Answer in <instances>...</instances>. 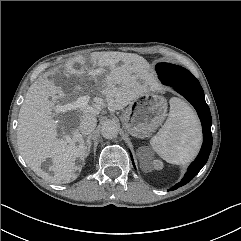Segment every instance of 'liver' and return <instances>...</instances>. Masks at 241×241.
<instances>
[{
  "label": "liver",
  "mask_w": 241,
  "mask_h": 241,
  "mask_svg": "<svg viewBox=\"0 0 241 241\" xmlns=\"http://www.w3.org/2000/svg\"><path fill=\"white\" fill-rule=\"evenodd\" d=\"M94 70L86 71L82 66L79 70L73 67V62L65 66L64 75L80 77L82 82L93 81L105 96L107 106L111 110H121L141 94L149 91L152 79L147 61L136 54L121 52L93 53L90 59ZM121 62V64H119ZM109 73H104V68ZM45 73L39 81L34 82L27 91L25 100L19 111L17 141L22 157L33 170L38 168V174L52 183H69L77 178L76 171H81L86 158L85 141L79 131V124L84 114L98 115L104 105L103 99L95 97L91 105L78 107L72 112L76 102L65 105L66 118L75 117V129L72 136L66 139L57 138V123L54 120L53 107L59 98L71 99L82 90L76 85L74 90L56 86ZM51 158L52 176L40 170L41 163ZM36 172V171H35Z\"/></svg>",
  "instance_id": "1"
}]
</instances>
